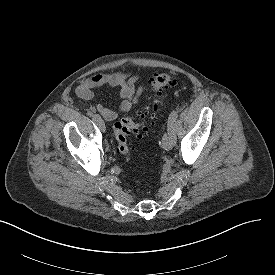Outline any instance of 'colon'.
Here are the masks:
<instances>
[{"label":"colon","instance_id":"colon-1","mask_svg":"<svg viewBox=\"0 0 275 275\" xmlns=\"http://www.w3.org/2000/svg\"><path fill=\"white\" fill-rule=\"evenodd\" d=\"M175 84L176 81L170 74L158 73L150 78L148 90L159 96ZM158 105V101H154L145 110L123 117L114 124L117 149L127 159H130L132 153V149L128 146V137L131 135L142 137L148 134L152 125V112L157 109Z\"/></svg>","mask_w":275,"mask_h":275}]
</instances>
